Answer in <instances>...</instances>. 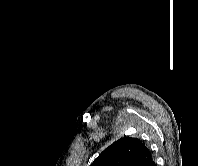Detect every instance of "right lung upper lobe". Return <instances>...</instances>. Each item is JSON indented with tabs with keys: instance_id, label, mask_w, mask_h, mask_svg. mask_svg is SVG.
Masks as SVG:
<instances>
[{
	"instance_id": "cb5924a9",
	"label": "right lung upper lobe",
	"mask_w": 198,
	"mask_h": 166,
	"mask_svg": "<svg viewBox=\"0 0 198 166\" xmlns=\"http://www.w3.org/2000/svg\"><path fill=\"white\" fill-rule=\"evenodd\" d=\"M149 149L137 138L124 137L107 147L91 166H150Z\"/></svg>"
}]
</instances>
